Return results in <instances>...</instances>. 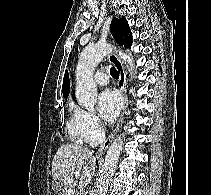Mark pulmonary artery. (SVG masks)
<instances>
[{
    "label": "pulmonary artery",
    "instance_id": "1",
    "mask_svg": "<svg viewBox=\"0 0 211 195\" xmlns=\"http://www.w3.org/2000/svg\"><path fill=\"white\" fill-rule=\"evenodd\" d=\"M94 81L100 86L107 85L109 82L108 74L105 71H98L94 75Z\"/></svg>",
    "mask_w": 211,
    "mask_h": 195
}]
</instances>
